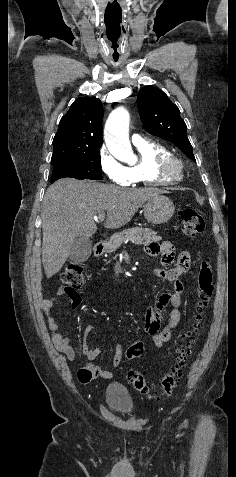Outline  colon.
Masks as SVG:
<instances>
[{"label":"colon","instance_id":"1","mask_svg":"<svg viewBox=\"0 0 236 477\" xmlns=\"http://www.w3.org/2000/svg\"><path fill=\"white\" fill-rule=\"evenodd\" d=\"M204 228L205 221L197 211L187 208L181 212V229L185 236L195 237L200 234ZM183 260L188 261V257L184 255ZM61 281L64 285V291L67 294H74L77 290L82 289L86 283L81 266L76 264H69L65 267L61 275ZM197 284L198 300L196 303V313L192 321V327L182 335L185 342L177 349L173 363L164 373L160 381L162 393L165 396H170L173 393L177 387L178 381L183 375V369L191 354L192 347L195 343L202 320L213 294V274L212 269L207 262H204L200 267ZM143 353V343L135 342L127 349L126 358L129 360L139 358ZM127 380L134 389L143 395L150 397L153 396L151 389L141 372L135 370L129 371L127 373Z\"/></svg>","mask_w":236,"mask_h":477}]
</instances>
